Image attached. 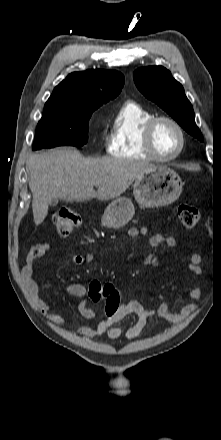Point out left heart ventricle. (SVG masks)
I'll return each instance as SVG.
<instances>
[{
    "label": "left heart ventricle",
    "mask_w": 221,
    "mask_h": 440,
    "mask_svg": "<svg viewBox=\"0 0 221 440\" xmlns=\"http://www.w3.org/2000/svg\"><path fill=\"white\" fill-rule=\"evenodd\" d=\"M153 143L160 155H172L180 145L178 131L170 123L160 122L154 131Z\"/></svg>",
    "instance_id": "obj_1"
}]
</instances>
